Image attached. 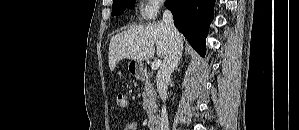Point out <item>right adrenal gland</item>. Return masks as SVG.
I'll list each match as a JSON object with an SVG mask.
<instances>
[{
	"mask_svg": "<svg viewBox=\"0 0 299 130\" xmlns=\"http://www.w3.org/2000/svg\"><path fill=\"white\" fill-rule=\"evenodd\" d=\"M175 70H178V64L176 65Z\"/></svg>",
	"mask_w": 299,
	"mask_h": 130,
	"instance_id": "right-adrenal-gland-1",
	"label": "right adrenal gland"
}]
</instances>
